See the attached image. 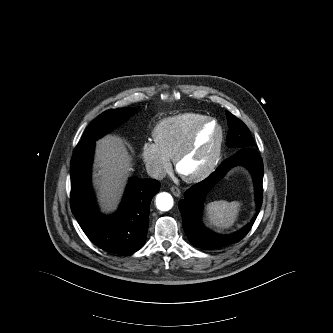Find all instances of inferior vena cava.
<instances>
[{
  "instance_id": "inferior-vena-cava-1",
  "label": "inferior vena cava",
  "mask_w": 333,
  "mask_h": 333,
  "mask_svg": "<svg viewBox=\"0 0 333 333\" xmlns=\"http://www.w3.org/2000/svg\"><path fill=\"white\" fill-rule=\"evenodd\" d=\"M146 169H147V174L151 178L162 180L166 176L165 170L156 165L148 166Z\"/></svg>"
}]
</instances>
